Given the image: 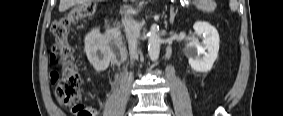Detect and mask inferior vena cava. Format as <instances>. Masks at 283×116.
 Masks as SVG:
<instances>
[{
    "label": "inferior vena cava",
    "instance_id": "602c4592",
    "mask_svg": "<svg viewBox=\"0 0 283 116\" xmlns=\"http://www.w3.org/2000/svg\"><path fill=\"white\" fill-rule=\"evenodd\" d=\"M133 10L128 8L125 12L124 23H125V32L126 38L129 44V53L131 59L137 57V43L138 38L140 37V27L139 24L132 18Z\"/></svg>",
    "mask_w": 283,
    "mask_h": 116
}]
</instances>
